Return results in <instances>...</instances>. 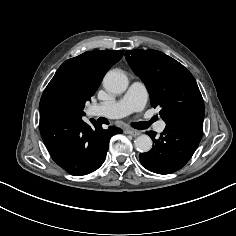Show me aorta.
<instances>
[{"label":"aorta","mask_w":236,"mask_h":236,"mask_svg":"<svg viewBox=\"0 0 236 236\" xmlns=\"http://www.w3.org/2000/svg\"><path fill=\"white\" fill-rule=\"evenodd\" d=\"M128 83L127 76L121 70L108 71L103 78L105 89L114 94L123 93L127 89ZM152 144L151 138L146 134L138 136L134 141L135 148L142 153L150 151Z\"/></svg>","instance_id":"obj_1"}]
</instances>
